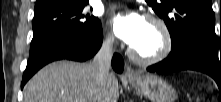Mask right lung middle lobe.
I'll list each match as a JSON object with an SVG mask.
<instances>
[{
  "label": "right lung middle lobe",
  "mask_w": 221,
  "mask_h": 102,
  "mask_svg": "<svg viewBox=\"0 0 221 102\" xmlns=\"http://www.w3.org/2000/svg\"><path fill=\"white\" fill-rule=\"evenodd\" d=\"M88 4V0H46L36 4L30 53L61 35L94 32L101 22L87 12Z\"/></svg>",
  "instance_id": "right-lung-middle-lobe-1"
}]
</instances>
